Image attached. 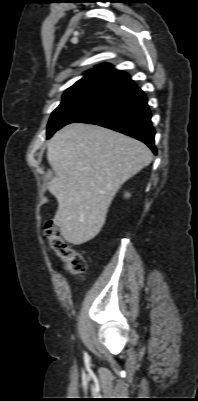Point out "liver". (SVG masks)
<instances>
[{
    "label": "liver",
    "mask_w": 198,
    "mask_h": 401,
    "mask_svg": "<svg viewBox=\"0 0 198 401\" xmlns=\"http://www.w3.org/2000/svg\"><path fill=\"white\" fill-rule=\"evenodd\" d=\"M48 189L58 201L54 223L74 245L93 239L120 187L152 161L141 141L97 125L72 123L51 138Z\"/></svg>",
    "instance_id": "obj_1"
}]
</instances>
